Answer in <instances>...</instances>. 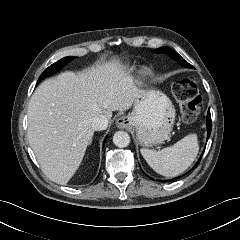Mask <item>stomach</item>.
Listing matches in <instances>:
<instances>
[{"instance_id":"1","label":"stomach","mask_w":240,"mask_h":240,"mask_svg":"<svg viewBox=\"0 0 240 240\" xmlns=\"http://www.w3.org/2000/svg\"><path fill=\"white\" fill-rule=\"evenodd\" d=\"M127 118L129 125L136 129L141 145H155L169 137L175 120V109L164 93L143 90Z\"/></svg>"}]
</instances>
